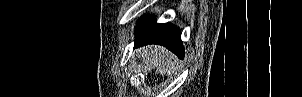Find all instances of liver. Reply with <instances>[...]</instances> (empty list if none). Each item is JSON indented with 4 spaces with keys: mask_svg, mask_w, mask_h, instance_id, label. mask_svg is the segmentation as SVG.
<instances>
[{
    "mask_svg": "<svg viewBox=\"0 0 302 97\" xmlns=\"http://www.w3.org/2000/svg\"><path fill=\"white\" fill-rule=\"evenodd\" d=\"M139 54L149 62L156 74L162 76L175 69L177 58L167 49L157 45H150L140 49Z\"/></svg>",
    "mask_w": 302,
    "mask_h": 97,
    "instance_id": "6515ba94",
    "label": "liver"
}]
</instances>
